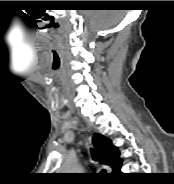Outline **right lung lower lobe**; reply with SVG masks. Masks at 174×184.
Segmentation results:
<instances>
[{
  "mask_svg": "<svg viewBox=\"0 0 174 184\" xmlns=\"http://www.w3.org/2000/svg\"><path fill=\"white\" fill-rule=\"evenodd\" d=\"M121 168V167H120ZM116 174H120V169L116 172Z\"/></svg>",
  "mask_w": 174,
  "mask_h": 184,
  "instance_id": "right-lung-lower-lobe-1",
  "label": "right lung lower lobe"
}]
</instances>
